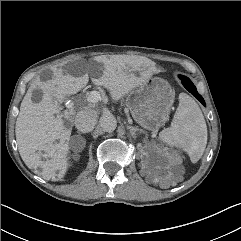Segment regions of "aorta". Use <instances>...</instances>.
<instances>
[{"label": "aorta", "instance_id": "1", "mask_svg": "<svg viewBox=\"0 0 241 241\" xmlns=\"http://www.w3.org/2000/svg\"><path fill=\"white\" fill-rule=\"evenodd\" d=\"M99 125L104 131L112 132L117 127V121L111 113H106L100 117Z\"/></svg>", "mask_w": 241, "mask_h": 241}]
</instances>
